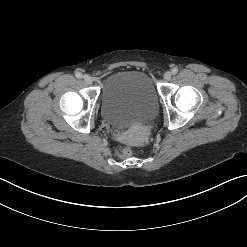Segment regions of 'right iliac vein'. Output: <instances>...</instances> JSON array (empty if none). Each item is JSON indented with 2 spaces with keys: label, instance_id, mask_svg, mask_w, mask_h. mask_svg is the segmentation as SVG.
<instances>
[{
  "label": "right iliac vein",
  "instance_id": "obj_1",
  "mask_svg": "<svg viewBox=\"0 0 247 247\" xmlns=\"http://www.w3.org/2000/svg\"><path fill=\"white\" fill-rule=\"evenodd\" d=\"M83 79H84V81H85L87 84H92V82H93L92 77H91L90 75H88V74H85V75L83 76Z\"/></svg>",
  "mask_w": 247,
  "mask_h": 247
}]
</instances>
